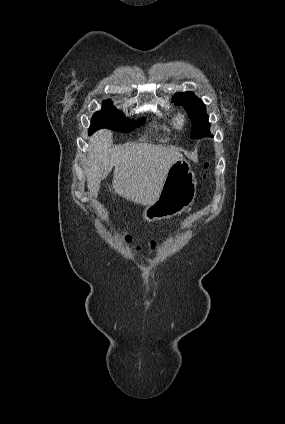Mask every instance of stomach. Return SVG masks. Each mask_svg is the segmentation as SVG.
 <instances>
[{"instance_id":"stomach-1","label":"stomach","mask_w":285,"mask_h":424,"mask_svg":"<svg viewBox=\"0 0 285 424\" xmlns=\"http://www.w3.org/2000/svg\"><path fill=\"white\" fill-rule=\"evenodd\" d=\"M196 184L189 162L181 156L169 168L158 198L145 208L144 220L169 219L183 212L194 202Z\"/></svg>"}]
</instances>
